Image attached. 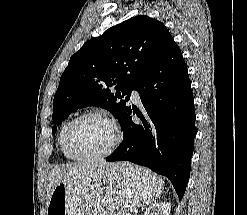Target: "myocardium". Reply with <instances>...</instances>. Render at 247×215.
<instances>
[{
	"label": "myocardium",
	"instance_id": "f54148a6",
	"mask_svg": "<svg viewBox=\"0 0 247 215\" xmlns=\"http://www.w3.org/2000/svg\"><path fill=\"white\" fill-rule=\"evenodd\" d=\"M87 118H97V119L103 120L106 123H108L114 131V139L111 145L105 151L101 153L92 154V155H81V154H78L74 149V145H73L74 130L80 121L87 119ZM121 139H122L121 129L119 125L111 117L99 111H88V112L80 114L79 116H77L71 121L68 127V130H67V133H66V146H67L68 153L74 160L97 161V160L105 159L109 157L112 153H114L115 150L119 147L121 143Z\"/></svg>",
	"mask_w": 247,
	"mask_h": 215
}]
</instances>
